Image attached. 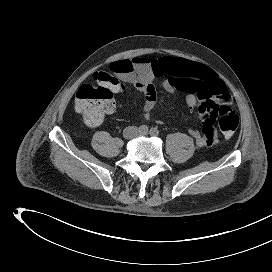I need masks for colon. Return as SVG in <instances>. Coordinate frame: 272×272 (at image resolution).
<instances>
[{"label": "colon", "instance_id": "obj_1", "mask_svg": "<svg viewBox=\"0 0 272 272\" xmlns=\"http://www.w3.org/2000/svg\"><path fill=\"white\" fill-rule=\"evenodd\" d=\"M95 84L82 85L75 96V110L83 121L92 127L98 126L113 105L114 93L123 90V84L110 72L94 74ZM214 121L225 138L233 136L239 126V116L229 106L216 110Z\"/></svg>", "mask_w": 272, "mask_h": 272}]
</instances>
